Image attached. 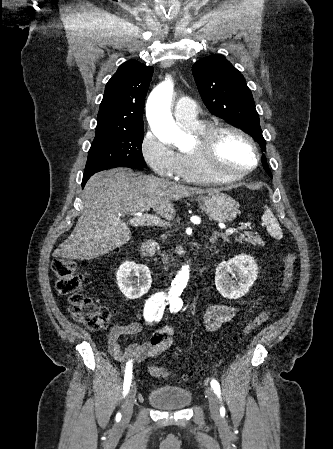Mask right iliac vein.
Returning <instances> with one entry per match:
<instances>
[{
	"mask_svg": "<svg viewBox=\"0 0 333 449\" xmlns=\"http://www.w3.org/2000/svg\"><path fill=\"white\" fill-rule=\"evenodd\" d=\"M137 387L136 384L133 383L127 393L124 404L122 406V418L121 424L125 425L130 421L133 412V406L135 402Z\"/></svg>",
	"mask_w": 333,
	"mask_h": 449,
	"instance_id": "63e3f726",
	"label": "right iliac vein"
}]
</instances>
